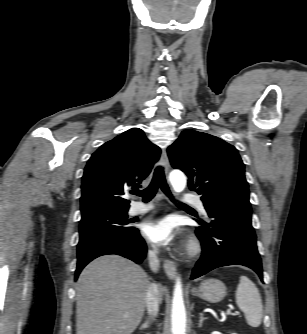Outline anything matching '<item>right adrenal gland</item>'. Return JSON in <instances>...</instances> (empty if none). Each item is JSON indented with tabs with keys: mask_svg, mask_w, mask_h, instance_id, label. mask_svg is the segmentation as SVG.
I'll return each instance as SVG.
<instances>
[{
	"mask_svg": "<svg viewBox=\"0 0 307 334\" xmlns=\"http://www.w3.org/2000/svg\"><path fill=\"white\" fill-rule=\"evenodd\" d=\"M150 325L149 321H146L145 323H143L140 327V329H145V328H148Z\"/></svg>",
	"mask_w": 307,
	"mask_h": 334,
	"instance_id": "obj_1",
	"label": "right adrenal gland"
}]
</instances>
